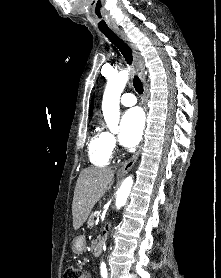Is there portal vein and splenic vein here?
Listing matches in <instances>:
<instances>
[{
    "mask_svg": "<svg viewBox=\"0 0 221 278\" xmlns=\"http://www.w3.org/2000/svg\"><path fill=\"white\" fill-rule=\"evenodd\" d=\"M95 214H96L97 216H100V215H101V211H96Z\"/></svg>",
    "mask_w": 221,
    "mask_h": 278,
    "instance_id": "obj_1",
    "label": "portal vein and splenic vein"
}]
</instances>
